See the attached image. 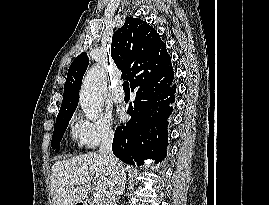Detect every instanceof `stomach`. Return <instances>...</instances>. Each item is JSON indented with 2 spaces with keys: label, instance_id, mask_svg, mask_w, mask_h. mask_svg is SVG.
Wrapping results in <instances>:
<instances>
[{
  "label": "stomach",
  "instance_id": "0dacf381",
  "mask_svg": "<svg viewBox=\"0 0 269 205\" xmlns=\"http://www.w3.org/2000/svg\"><path fill=\"white\" fill-rule=\"evenodd\" d=\"M75 205H85L83 202L76 203Z\"/></svg>",
  "mask_w": 269,
  "mask_h": 205
}]
</instances>
